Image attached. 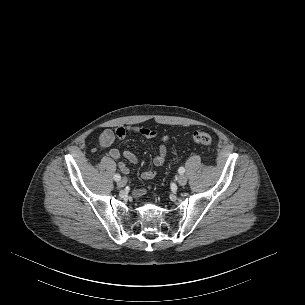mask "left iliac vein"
<instances>
[{"mask_svg":"<svg viewBox=\"0 0 305 305\" xmlns=\"http://www.w3.org/2000/svg\"><path fill=\"white\" fill-rule=\"evenodd\" d=\"M177 182L180 186H184L187 183V177L185 175L181 174L178 176Z\"/></svg>","mask_w":305,"mask_h":305,"instance_id":"obj_1","label":"left iliac vein"}]
</instances>
